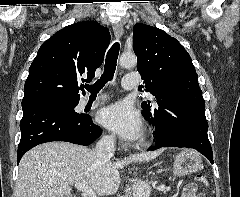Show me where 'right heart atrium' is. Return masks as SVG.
Instances as JSON below:
<instances>
[{"label": "right heart atrium", "instance_id": "1", "mask_svg": "<svg viewBox=\"0 0 240 197\" xmlns=\"http://www.w3.org/2000/svg\"><path fill=\"white\" fill-rule=\"evenodd\" d=\"M105 141L108 143H112L113 142V137L111 135H106L104 137Z\"/></svg>", "mask_w": 240, "mask_h": 197}]
</instances>
